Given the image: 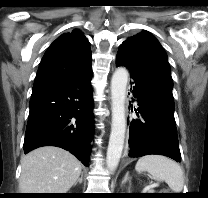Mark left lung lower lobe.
<instances>
[{"label": "left lung lower lobe", "instance_id": "obj_1", "mask_svg": "<svg viewBox=\"0 0 208 198\" xmlns=\"http://www.w3.org/2000/svg\"><path fill=\"white\" fill-rule=\"evenodd\" d=\"M116 65L129 69L130 83L135 84L132 93L139 106V119L130 123L128 119L129 157L160 154L180 162L173 98L156 84L129 48L120 46Z\"/></svg>", "mask_w": 208, "mask_h": 198}]
</instances>
